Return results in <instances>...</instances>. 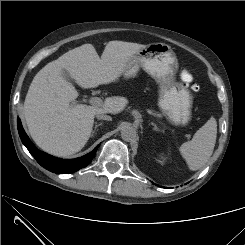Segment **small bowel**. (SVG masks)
<instances>
[{
	"instance_id": "1",
	"label": "small bowel",
	"mask_w": 245,
	"mask_h": 245,
	"mask_svg": "<svg viewBox=\"0 0 245 245\" xmlns=\"http://www.w3.org/2000/svg\"><path fill=\"white\" fill-rule=\"evenodd\" d=\"M180 78L183 82H190L191 79H192V76L191 74L186 71V70H183L181 73H180Z\"/></svg>"
}]
</instances>
